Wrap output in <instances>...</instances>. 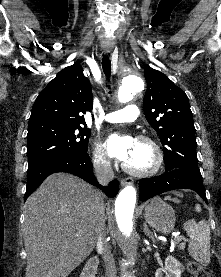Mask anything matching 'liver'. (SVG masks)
I'll use <instances>...</instances> for the list:
<instances>
[{
    "label": "liver",
    "mask_w": 221,
    "mask_h": 277,
    "mask_svg": "<svg viewBox=\"0 0 221 277\" xmlns=\"http://www.w3.org/2000/svg\"><path fill=\"white\" fill-rule=\"evenodd\" d=\"M101 194L67 173L49 176L25 203L26 277H67L97 242Z\"/></svg>",
    "instance_id": "1"
}]
</instances>
